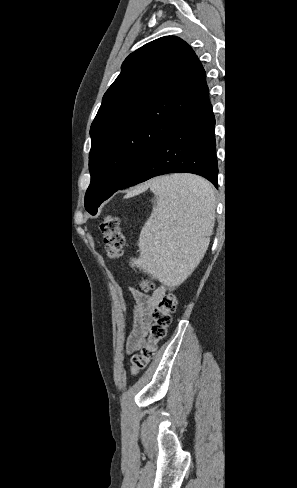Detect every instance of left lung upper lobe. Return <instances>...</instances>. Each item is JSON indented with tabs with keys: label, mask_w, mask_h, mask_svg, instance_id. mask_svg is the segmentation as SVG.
Listing matches in <instances>:
<instances>
[{
	"label": "left lung upper lobe",
	"mask_w": 297,
	"mask_h": 488,
	"mask_svg": "<svg viewBox=\"0 0 297 488\" xmlns=\"http://www.w3.org/2000/svg\"><path fill=\"white\" fill-rule=\"evenodd\" d=\"M121 69L90 129L91 183L85 195L90 214L97 213L170 133L210 102L205 70L179 37L145 44Z\"/></svg>",
	"instance_id": "obj_1"
}]
</instances>
